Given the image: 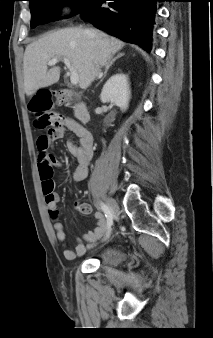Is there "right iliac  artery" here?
Wrapping results in <instances>:
<instances>
[{
    "label": "right iliac artery",
    "mask_w": 213,
    "mask_h": 338,
    "mask_svg": "<svg viewBox=\"0 0 213 338\" xmlns=\"http://www.w3.org/2000/svg\"><path fill=\"white\" fill-rule=\"evenodd\" d=\"M100 206H101L102 211L105 214L106 221H107V234H106L105 239H108L110 234H111L112 228H113V215L110 212V210H109V208L106 204L100 203Z\"/></svg>",
    "instance_id": "1"
}]
</instances>
